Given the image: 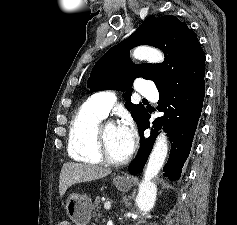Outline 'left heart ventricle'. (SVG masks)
<instances>
[{
    "label": "left heart ventricle",
    "mask_w": 237,
    "mask_h": 225,
    "mask_svg": "<svg viewBox=\"0 0 237 225\" xmlns=\"http://www.w3.org/2000/svg\"><path fill=\"white\" fill-rule=\"evenodd\" d=\"M104 135L106 148L110 157L115 160H122L126 158V155L123 151L122 140L118 131V127L115 125L107 126Z\"/></svg>",
    "instance_id": "left-heart-ventricle-1"
}]
</instances>
